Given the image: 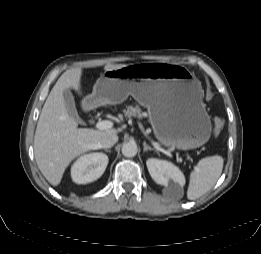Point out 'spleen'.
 Segmentation results:
<instances>
[{"label":"spleen","mask_w":261,"mask_h":254,"mask_svg":"<svg viewBox=\"0 0 261 254\" xmlns=\"http://www.w3.org/2000/svg\"><path fill=\"white\" fill-rule=\"evenodd\" d=\"M223 158L219 155L201 159L190 174L187 198L195 200L208 192L217 182L223 169Z\"/></svg>","instance_id":"1"}]
</instances>
